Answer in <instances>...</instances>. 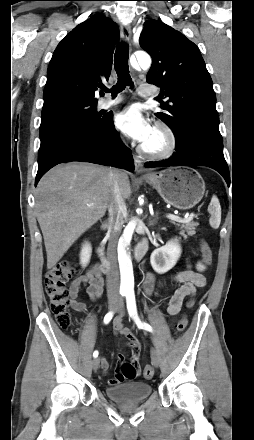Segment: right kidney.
Returning a JSON list of instances; mask_svg holds the SVG:
<instances>
[{"label":"right kidney","mask_w":254,"mask_h":440,"mask_svg":"<svg viewBox=\"0 0 254 440\" xmlns=\"http://www.w3.org/2000/svg\"><path fill=\"white\" fill-rule=\"evenodd\" d=\"M91 252H92L91 245L89 243L84 244L80 254L82 266H86L89 263Z\"/></svg>","instance_id":"right-kidney-1"}]
</instances>
